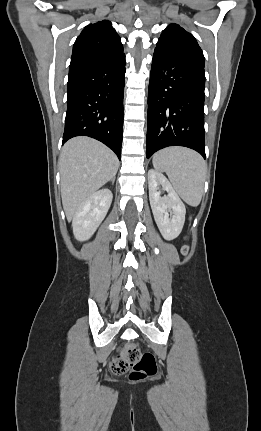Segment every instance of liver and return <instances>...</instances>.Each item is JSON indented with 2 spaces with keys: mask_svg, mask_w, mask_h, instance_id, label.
<instances>
[{
  "mask_svg": "<svg viewBox=\"0 0 261 431\" xmlns=\"http://www.w3.org/2000/svg\"><path fill=\"white\" fill-rule=\"evenodd\" d=\"M61 197L70 221L85 200L117 173L116 155L90 137H75L65 143L60 154Z\"/></svg>",
  "mask_w": 261,
  "mask_h": 431,
  "instance_id": "obj_1",
  "label": "liver"
}]
</instances>
